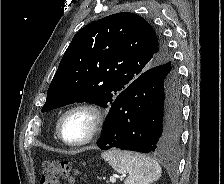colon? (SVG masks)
Listing matches in <instances>:
<instances>
[{
	"label": "colon",
	"instance_id": "5ec220e1",
	"mask_svg": "<svg viewBox=\"0 0 224 184\" xmlns=\"http://www.w3.org/2000/svg\"><path fill=\"white\" fill-rule=\"evenodd\" d=\"M78 171L68 161L46 162L42 165L39 184H60V179L73 182Z\"/></svg>",
	"mask_w": 224,
	"mask_h": 184
}]
</instances>
